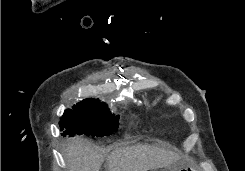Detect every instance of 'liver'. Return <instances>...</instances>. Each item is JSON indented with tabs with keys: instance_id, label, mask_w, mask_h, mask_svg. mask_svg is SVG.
I'll return each instance as SVG.
<instances>
[{
	"instance_id": "obj_1",
	"label": "liver",
	"mask_w": 245,
	"mask_h": 171,
	"mask_svg": "<svg viewBox=\"0 0 245 171\" xmlns=\"http://www.w3.org/2000/svg\"><path fill=\"white\" fill-rule=\"evenodd\" d=\"M69 171H99L102 153L81 138L69 139L64 152ZM181 157L151 145H135L116 149L108 158V171H148L168 167Z\"/></svg>"
}]
</instances>
